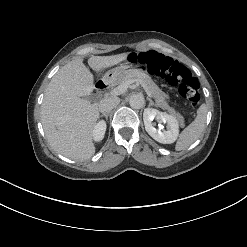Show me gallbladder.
<instances>
[{"label":"gallbladder","mask_w":247,"mask_h":247,"mask_svg":"<svg viewBox=\"0 0 247 247\" xmlns=\"http://www.w3.org/2000/svg\"><path fill=\"white\" fill-rule=\"evenodd\" d=\"M85 99H88V100H91V99H93L94 97L92 96V95H90V96H86V97H84Z\"/></svg>","instance_id":"gallbladder-1"}]
</instances>
